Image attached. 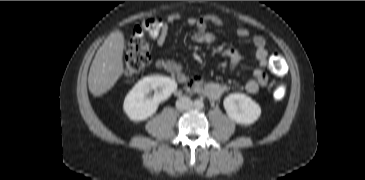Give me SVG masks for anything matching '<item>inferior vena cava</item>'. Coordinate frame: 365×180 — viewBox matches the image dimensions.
<instances>
[{
    "label": "inferior vena cava",
    "mask_w": 365,
    "mask_h": 180,
    "mask_svg": "<svg viewBox=\"0 0 365 180\" xmlns=\"http://www.w3.org/2000/svg\"><path fill=\"white\" fill-rule=\"evenodd\" d=\"M193 103L191 101L190 98L188 97H180L177 101H176V107L178 110H188L192 107Z\"/></svg>",
    "instance_id": "602c4592"
}]
</instances>
